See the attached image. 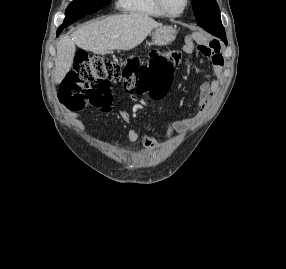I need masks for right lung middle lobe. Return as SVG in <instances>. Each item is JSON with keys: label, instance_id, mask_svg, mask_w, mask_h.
<instances>
[{"label": "right lung middle lobe", "instance_id": "obj_1", "mask_svg": "<svg viewBox=\"0 0 286 269\" xmlns=\"http://www.w3.org/2000/svg\"><path fill=\"white\" fill-rule=\"evenodd\" d=\"M110 0H74L72 1L65 11V19L63 24L58 28L61 32L66 26L74 21L90 15L101 7L106 5Z\"/></svg>", "mask_w": 286, "mask_h": 269}]
</instances>
